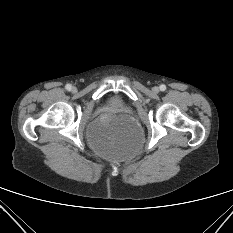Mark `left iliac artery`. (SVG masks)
<instances>
[{
    "label": "left iliac artery",
    "mask_w": 233,
    "mask_h": 233,
    "mask_svg": "<svg viewBox=\"0 0 233 233\" xmlns=\"http://www.w3.org/2000/svg\"><path fill=\"white\" fill-rule=\"evenodd\" d=\"M160 90L161 91H165L166 90V86L164 84L160 85Z\"/></svg>",
    "instance_id": "left-iliac-artery-1"
}]
</instances>
